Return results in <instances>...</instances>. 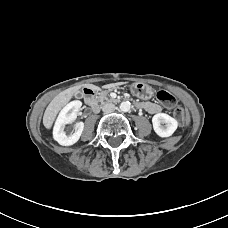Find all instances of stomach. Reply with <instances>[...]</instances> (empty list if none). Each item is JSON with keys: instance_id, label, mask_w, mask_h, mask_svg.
Wrapping results in <instances>:
<instances>
[{"instance_id": "stomach-1", "label": "stomach", "mask_w": 228, "mask_h": 228, "mask_svg": "<svg viewBox=\"0 0 228 228\" xmlns=\"http://www.w3.org/2000/svg\"><path fill=\"white\" fill-rule=\"evenodd\" d=\"M131 93L140 99H149L153 95L152 88L144 82H134L130 85Z\"/></svg>"}]
</instances>
